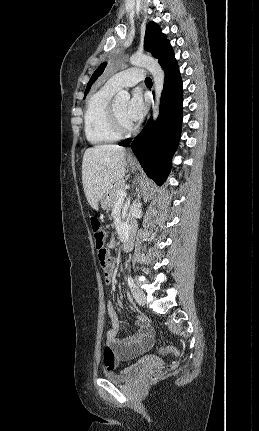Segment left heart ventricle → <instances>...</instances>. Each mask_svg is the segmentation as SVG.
Here are the masks:
<instances>
[{
	"mask_svg": "<svg viewBox=\"0 0 259 431\" xmlns=\"http://www.w3.org/2000/svg\"><path fill=\"white\" fill-rule=\"evenodd\" d=\"M126 105H127L126 101H118V102L114 103L116 113H117L121 123L124 126L129 127L132 124L127 120V118L125 116Z\"/></svg>",
	"mask_w": 259,
	"mask_h": 431,
	"instance_id": "left-heart-ventricle-1",
	"label": "left heart ventricle"
}]
</instances>
